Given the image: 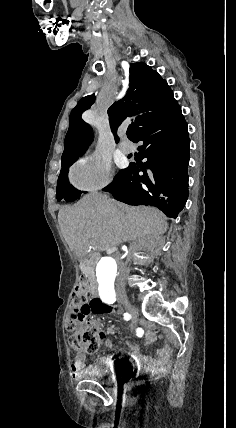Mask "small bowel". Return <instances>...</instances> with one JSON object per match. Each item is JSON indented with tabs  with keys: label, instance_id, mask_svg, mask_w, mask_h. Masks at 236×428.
Here are the masks:
<instances>
[{
	"label": "small bowel",
	"instance_id": "obj_1",
	"mask_svg": "<svg viewBox=\"0 0 236 428\" xmlns=\"http://www.w3.org/2000/svg\"><path fill=\"white\" fill-rule=\"evenodd\" d=\"M137 336L139 337H145L146 340V346L152 345V343L156 339V335L153 331L150 329H143V328H132ZM100 339L105 340V335L103 333H100ZM106 344L108 346H111L109 341H106ZM126 345L128 348V353L131 356L132 360L139 366L140 368H143L146 371H152L155 370L157 367H159L163 360L168 354L170 353V347L168 344L165 345L164 348L158 350L156 352V357H146L140 352V348L133 343L130 340L126 341ZM115 359L114 355L101 357L99 359V363L101 365L112 367L114 365ZM92 366L86 365V355L84 352H78L73 364H72V373L74 377L80 376L84 371L90 369Z\"/></svg>",
	"mask_w": 236,
	"mask_h": 428
}]
</instances>
